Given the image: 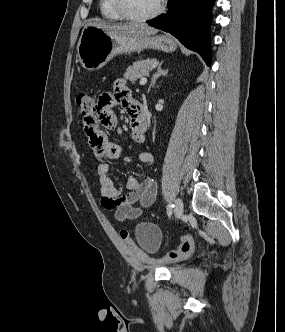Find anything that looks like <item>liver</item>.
Wrapping results in <instances>:
<instances>
[{
  "label": "liver",
  "mask_w": 285,
  "mask_h": 332,
  "mask_svg": "<svg viewBox=\"0 0 285 332\" xmlns=\"http://www.w3.org/2000/svg\"><path fill=\"white\" fill-rule=\"evenodd\" d=\"M92 25L110 31L113 34L132 35V36H147L157 33V29L143 24H124V25H111L103 21H96L86 24Z\"/></svg>",
  "instance_id": "obj_1"
}]
</instances>
